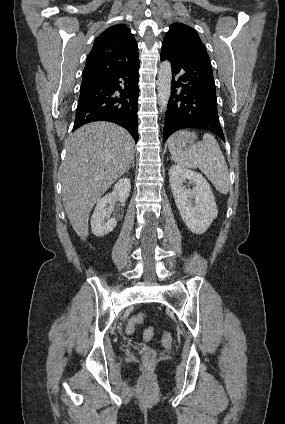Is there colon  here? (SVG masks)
<instances>
[{
	"label": "colon",
	"mask_w": 285,
	"mask_h": 424,
	"mask_svg": "<svg viewBox=\"0 0 285 424\" xmlns=\"http://www.w3.org/2000/svg\"><path fill=\"white\" fill-rule=\"evenodd\" d=\"M144 317H145V314H143V313H138V314L132 316L127 323L126 332L128 334L134 333L137 326L142 323ZM153 335H154V329L148 328L144 331L143 338L145 340H150V339H152ZM172 340H173V338H172V335L170 333H165L163 335L162 341L165 345H170L172 343ZM143 358L146 362H152L155 359L154 350L151 349V348L145 349L144 354H143Z\"/></svg>",
	"instance_id": "1"
}]
</instances>
